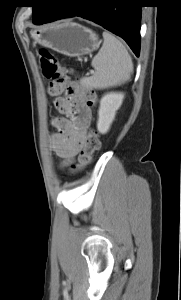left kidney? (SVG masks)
<instances>
[{
    "label": "left kidney",
    "instance_id": "1",
    "mask_svg": "<svg viewBox=\"0 0 181 300\" xmlns=\"http://www.w3.org/2000/svg\"><path fill=\"white\" fill-rule=\"evenodd\" d=\"M123 99L124 94L116 92L106 93L101 98L97 121V129L101 134H105L109 131L114 121L116 111L121 107Z\"/></svg>",
    "mask_w": 181,
    "mask_h": 300
}]
</instances>
